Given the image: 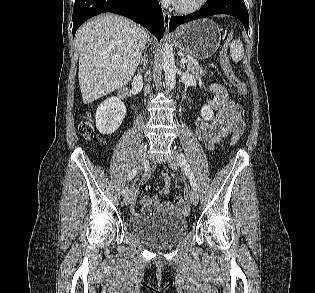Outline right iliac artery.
Masks as SVG:
<instances>
[{"label": "right iliac artery", "instance_id": "82829eb1", "mask_svg": "<svg viewBox=\"0 0 315 293\" xmlns=\"http://www.w3.org/2000/svg\"><path fill=\"white\" fill-rule=\"evenodd\" d=\"M137 171H138V168H137V167H135V168L132 169V171H131V172L129 173V175H128V181H130L131 179H133V178L136 176ZM128 192H129L128 187H126V188L123 190V196L126 197V196L128 195Z\"/></svg>", "mask_w": 315, "mask_h": 293}]
</instances>
